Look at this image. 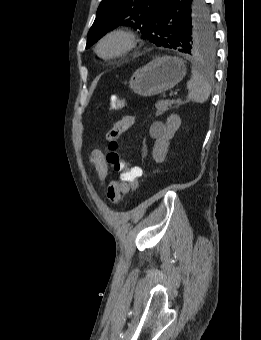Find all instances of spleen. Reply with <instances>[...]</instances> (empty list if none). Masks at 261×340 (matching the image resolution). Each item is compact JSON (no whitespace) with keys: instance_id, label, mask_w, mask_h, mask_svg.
Segmentation results:
<instances>
[{"instance_id":"spleen-1","label":"spleen","mask_w":261,"mask_h":340,"mask_svg":"<svg viewBox=\"0 0 261 340\" xmlns=\"http://www.w3.org/2000/svg\"><path fill=\"white\" fill-rule=\"evenodd\" d=\"M187 88L189 89L188 100L196 103H204L210 96L211 85L203 75L197 69H192V77L187 82Z\"/></svg>"}]
</instances>
